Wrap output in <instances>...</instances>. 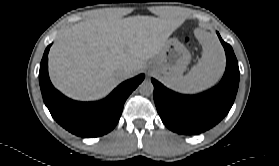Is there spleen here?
Returning a JSON list of instances; mask_svg holds the SVG:
<instances>
[{
	"mask_svg": "<svg viewBox=\"0 0 279 166\" xmlns=\"http://www.w3.org/2000/svg\"><path fill=\"white\" fill-rule=\"evenodd\" d=\"M199 42L202 44V57L190 72L168 82L172 89L187 94L201 92L215 85L225 66V57L218 40L208 32L197 33Z\"/></svg>",
	"mask_w": 279,
	"mask_h": 166,
	"instance_id": "3e777b00",
	"label": "spleen"
}]
</instances>
